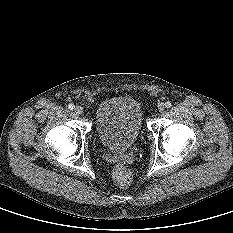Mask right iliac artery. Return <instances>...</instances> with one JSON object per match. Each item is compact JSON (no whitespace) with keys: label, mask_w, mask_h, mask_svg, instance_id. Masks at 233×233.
Segmentation results:
<instances>
[{"label":"right iliac artery","mask_w":233,"mask_h":233,"mask_svg":"<svg viewBox=\"0 0 233 233\" xmlns=\"http://www.w3.org/2000/svg\"><path fill=\"white\" fill-rule=\"evenodd\" d=\"M68 108H69L70 110H74V109H75V106H74V104H69V105H68Z\"/></svg>","instance_id":"1"}]
</instances>
